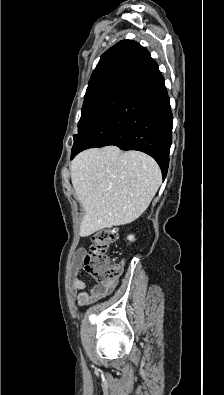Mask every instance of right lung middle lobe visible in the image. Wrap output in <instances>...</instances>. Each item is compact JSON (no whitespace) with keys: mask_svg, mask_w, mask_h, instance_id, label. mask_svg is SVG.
I'll return each mask as SVG.
<instances>
[{"mask_svg":"<svg viewBox=\"0 0 224 395\" xmlns=\"http://www.w3.org/2000/svg\"><path fill=\"white\" fill-rule=\"evenodd\" d=\"M120 70H115L104 74L94 80L89 81L88 88L84 97V104L82 107L81 118L78 123V134L74 135V142L83 132L89 118L97 109L99 104L105 98L115 80L119 75Z\"/></svg>","mask_w":224,"mask_h":395,"instance_id":"1","label":"right lung middle lobe"}]
</instances>
